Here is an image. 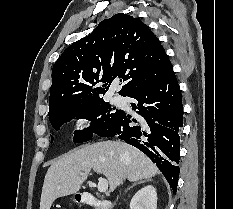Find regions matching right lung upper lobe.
<instances>
[{"instance_id":"1","label":"right lung upper lobe","mask_w":233,"mask_h":209,"mask_svg":"<svg viewBox=\"0 0 233 209\" xmlns=\"http://www.w3.org/2000/svg\"><path fill=\"white\" fill-rule=\"evenodd\" d=\"M172 66L160 41L139 19L116 14L69 46L52 70L49 113L96 101L122 78V96L157 81Z\"/></svg>"}]
</instances>
